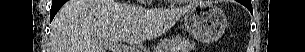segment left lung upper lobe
I'll return each mask as SVG.
<instances>
[{"label": "left lung upper lobe", "mask_w": 305, "mask_h": 52, "mask_svg": "<svg viewBox=\"0 0 305 52\" xmlns=\"http://www.w3.org/2000/svg\"><path fill=\"white\" fill-rule=\"evenodd\" d=\"M239 2L241 4H243L245 7H247L248 10H250V12H252V5H251V1L250 0H240Z\"/></svg>", "instance_id": "1"}]
</instances>
